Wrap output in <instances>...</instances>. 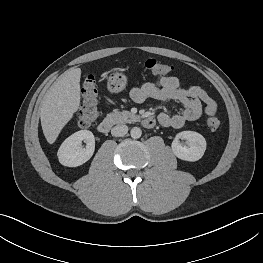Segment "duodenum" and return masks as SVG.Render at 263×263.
I'll return each instance as SVG.
<instances>
[{
    "label": "duodenum",
    "instance_id": "duodenum-1",
    "mask_svg": "<svg viewBox=\"0 0 263 263\" xmlns=\"http://www.w3.org/2000/svg\"><path fill=\"white\" fill-rule=\"evenodd\" d=\"M141 123L146 128L154 127L156 121L151 116H144L141 118ZM113 126V121L111 119H104L97 124V131L102 134L108 133Z\"/></svg>",
    "mask_w": 263,
    "mask_h": 263
}]
</instances>
